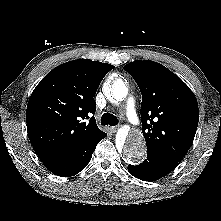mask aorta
<instances>
[{
	"instance_id": "aorta-1",
	"label": "aorta",
	"mask_w": 221,
	"mask_h": 221,
	"mask_svg": "<svg viewBox=\"0 0 221 221\" xmlns=\"http://www.w3.org/2000/svg\"><path fill=\"white\" fill-rule=\"evenodd\" d=\"M127 93V86L120 78H115L104 86V94L107 99L123 101ZM116 145L122 149L125 157L133 162L141 161L146 155V143L139 130L132 132L122 130L117 136Z\"/></svg>"
}]
</instances>
